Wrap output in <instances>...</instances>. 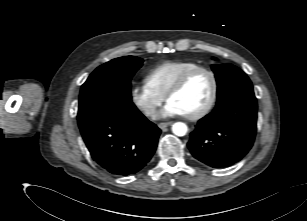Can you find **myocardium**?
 Segmentation results:
<instances>
[{
  "label": "myocardium",
  "mask_w": 307,
  "mask_h": 221,
  "mask_svg": "<svg viewBox=\"0 0 307 221\" xmlns=\"http://www.w3.org/2000/svg\"><path fill=\"white\" fill-rule=\"evenodd\" d=\"M198 72H206L209 74L212 81V92L208 102L202 109H200L198 112L194 114L184 115L189 120H199L205 117L207 114H209L210 111L213 109L217 101L218 92H219V81L216 72L213 69L205 66H198L193 69H190L176 80V82L171 86V88L168 90V92L165 95V100L168 101L173 95L180 92L187 84V82L192 78V76H194Z\"/></svg>",
  "instance_id": "1"
}]
</instances>
